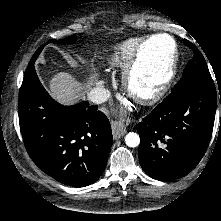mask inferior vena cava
Wrapping results in <instances>:
<instances>
[{"instance_id":"602c4592","label":"inferior vena cava","mask_w":221,"mask_h":221,"mask_svg":"<svg viewBox=\"0 0 221 221\" xmlns=\"http://www.w3.org/2000/svg\"><path fill=\"white\" fill-rule=\"evenodd\" d=\"M110 97V92L108 89L103 87H96L93 88L88 93V100L95 104H101L103 102H106Z\"/></svg>"}]
</instances>
